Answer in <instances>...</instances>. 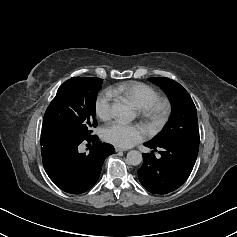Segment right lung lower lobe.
Here are the masks:
<instances>
[{"label": "right lung lower lobe", "mask_w": 237, "mask_h": 237, "mask_svg": "<svg viewBox=\"0 0 237 237\" xmlns=\"http://www.w3.org/2000/svg\"><path fill=\"white\" fill-rule=\"evenodd\" d=\"M96 135L86 139L73 138L57 130H42L43 166L50 179L71 194L86 192L97 182L104 160L115 152L112 145L97 141ZM82 142L93 144L89 153H80Z\"/></svg>", "instance_id": "right-lung-lower-lobe-1"}]
</instances>
